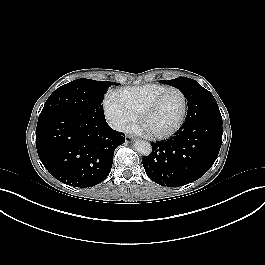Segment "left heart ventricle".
Segmentation results:
<instances>
[{
  "label": "left heart ventricle",
  "mask_w": 265,
  "mask_h": 265,
  "mask_svg": "<svg viewBox=\"0 0 265 265\" xmlns=\"http://www.w3.org/2000/svg\"><path fill=\"white\" fill-rule=\"evenodd\" d=\"M182 112V98L176 91L166 93L157 106L144 120L146 130L162 133L170 130L178 122Z\"/></svg>",
  "instance_id": "1"
}]
</instances>
